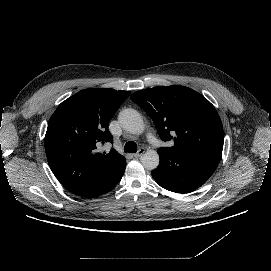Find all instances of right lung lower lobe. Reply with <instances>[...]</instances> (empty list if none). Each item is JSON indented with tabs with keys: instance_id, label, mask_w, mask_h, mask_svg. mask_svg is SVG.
Returning a JSON list of instances; mask_svg holds the SVG:
<instances>
[{
	"instance_id": "right-lung-lower-lobe-1",
	"label": "right lung lower lobe",
	"mask_w": 271,
	"mask_h": 271,
	"mask_svg": "<svg viewBox=\"0 0 271 271\" xmlns=\"http://www.w3.org/2000/svg\"><path fill=\"white\" fill-rule=\"evenodd\" d=\"M123 174H124V171L121 172V173L116 177V179H114L107 187H104L102 190H100V191H98V192H96V193L87 194V195H79V196H81V197H87V198H92V197H96V196H98V195L107 193V192L111 191V190L119 183V181L121 180Z\"/></svg>"
}]
</instances>
